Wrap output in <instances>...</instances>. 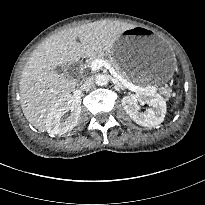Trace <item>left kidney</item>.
<instances>
[{
  "instance_id": "obj_1",
  "label": "left kidney",
  "mask_w": 205,
  "mask_h": 205,
  "mask_svg": "<svg viewBox=\"0 0 205 205\" xmlns=\"http://www.w3.org/2000/svg\"><path fill=\"white\" fill-rule=\"evenodd\" d=\"M138 102L148 104L145 112H140ZM122 106L130 118L138 125L155 127L161 124L166 114V102L162 96L148 88H140L134 96H124Z\"/></svg>"
}]
</instances>
